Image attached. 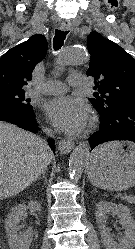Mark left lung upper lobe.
I'll return each mask as SVG.
<instances>
[{"instance_id": "left-lung-upper-lobe-1", "label": "left lung upper lobe", "mask_w": 135, "mask_h": 249, "mask_svg": "<svg viewBox=\"0 0 135 249\" xmlns=\"http://www.w3.org/2000/svg\"><path fill=\"white\" fill-rule=\"evenodd\" d=\"M90 66L95 79L93 98L88 100L101 114L118 104L135 105V59L122 47L93 31L87 38Z\"/></svg>"}]
</instances>
